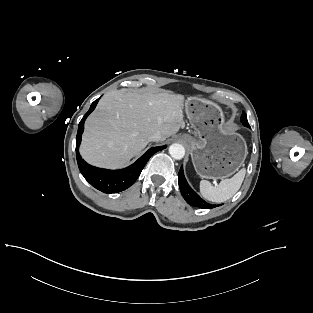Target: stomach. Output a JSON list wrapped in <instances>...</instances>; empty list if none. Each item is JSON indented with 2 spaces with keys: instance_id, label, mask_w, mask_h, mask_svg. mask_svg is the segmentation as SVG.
<instances>
[{
  "instance_id": "1",
  "label": "stomach",
  "mask_w": 313,
  "mask_h": 313,
  "mask_svg": "<svg viewBox=\"0 0 313 313\" xmlns=\"http://www.w3.org/2000/svg\"><path fill=\"white\" fill-rule=\"evenodd\" d=\"M185 112L193 135L183 134L194 169L202 178L223 179L234 174L248 154L244 138L230 131L221 108L212 101L188 98Z\"/></svg>"
}]
</instances>
